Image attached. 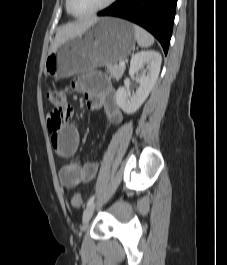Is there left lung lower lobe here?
Segmentation results:
<instances>
[{"instance_id":"left-lung-lower-lobe-1","label":"left lung lower lobe","mask_w":227,"mask_h":265,"mask_svg":"<svg viewBox=\"0 0 227 265\" xmlns=\"http://www.w3.org/2000/svg\"><path fill=\"white\" fill-rule=\"evenodd\" d=\"M177 0H117L98 16H115L132 21L153 34L167 54Z\"/></svg>"}]
</instances>
